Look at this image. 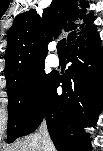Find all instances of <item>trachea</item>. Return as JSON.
Masks as SVG:
<instances>
[{"mask_svg": "<svg viewBox=\"0 0 103 151\" xmlns=\"http://www.w3.org/2000/svg\"><path fill=\"white\" fill-rule=\"evenodd\" d=\"M57 50L59 55H65L66 53V39H62L57 44Z\"/></svg>", "mask_w": 103, "mask_h": 151, "instance_id": "trachea-1", "label": "trachea"}]
</instances>
